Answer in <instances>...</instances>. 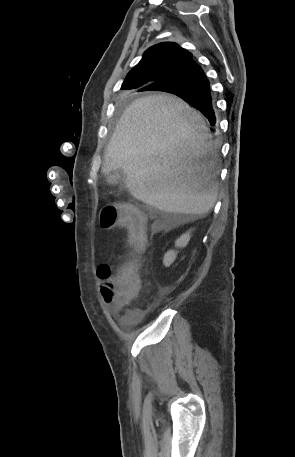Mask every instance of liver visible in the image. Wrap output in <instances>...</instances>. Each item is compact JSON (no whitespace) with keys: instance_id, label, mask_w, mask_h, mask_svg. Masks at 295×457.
Listing matches in <instances>:
<instances>
[{"instance_id":"1","label":"liver","mask_w":295,"mask_h":457,"mask_svg":"<svg viewBox=\"0 0 295 457\" xmlns=\"http://www.w3.org/2000/svg\"><path fill=\"white\" fill-rule=\"evenodd\" d=\"M209 138L202 115L181 99L141 97L117 123L102 172L123 169L133 197L160 211L202 216L218 194L219 160Z\"/></svg>"}]
</instances>
